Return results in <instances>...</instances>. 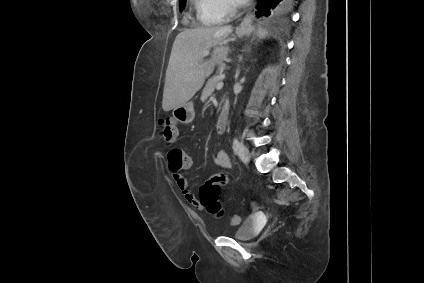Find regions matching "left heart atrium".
<instances>
[{
  "label": "left heart atrium",
  "mask_w": 424,
  "mask_h": 283,
  "mask_svg": "<svg viewBox=\"0 0 424 283\" xmlns=\"http://www.w3.org/2000/svg\"><path fill=\"white\" fill-rule=\"evenodd\" d=\"M239 4H244L246 3L248 0H236Z\"/></svg>",
  "instance_id": "39dd6f15"
}]
</instances>
